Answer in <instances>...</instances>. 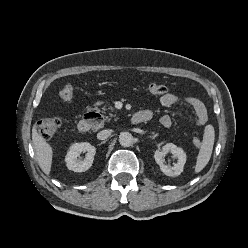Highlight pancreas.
<instances>
[{"label": "pancreas", "instance_id": "pancreas-1", "mask_svg": "<svg viewBox=\"0 0 248 248\" xmlns=\"http://www.w3.org/2000/svg\"><path fill=\"white\" fill-rule=\"evenodd\" d=\"M110 116H113L112 114H110ZM106 119H108V117H106Z\"/></svg>", "mask_w": 248, "mask_h": 248}]
</instances>
